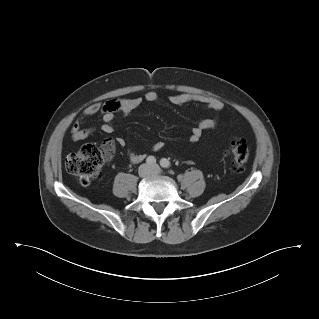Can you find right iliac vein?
<instances>
[{
    "mask_svg": "<svg viewBox=\"0 0 319 319\" xmlns=\"http://www.w3.org/2000/svg\"><path fill=\"white\" fill-rule=\"evenodd\" d=\"M151 174V168L149 165L144 164L139 168L140 177H148Z\"/></svg>",
    "mask_w": 319,
    "mask_h": 319,
    "instance_id": "1",
    "label": "right iliac vein"
}]
</instances>
